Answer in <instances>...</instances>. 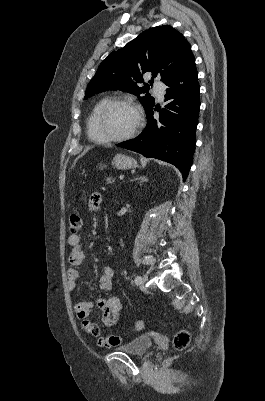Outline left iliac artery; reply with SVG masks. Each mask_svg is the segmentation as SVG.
Listing matches in <instances>:
<instances>
[{
  "label": "left iliac artery",
  "instance_id": "1",
  "mask_svg": "<svg viewBox=\"0 0 265 401\" xmlns=\"http://www.w3.org/2000/svg\"><path fill=\"white\" fill-rule=\"evenodd\" d=\"M141 283V277L140 276H136L135 278V284H140Z\"/></svg>",
  "mask_w": 265,
  "mask_h": 401
}]
</instances>
